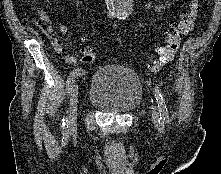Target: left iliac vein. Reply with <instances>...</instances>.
<instances>
[{
  "mask_svg": "<svg viewBox=\"0 0 221 174\" xmlns=\"http://www.w3.org/2000/svg\"><path fill=\"white\" fill-rule=\"evenodd\" d=\"M152 120L154 125L157 126L159 122V114L156 111V106H152Z\"/></svg>",
  "mask_w": 221,
  "mask_h": 174,
  "instance_id": "1",
  "label": "left iliac vein"
}]
</instances>
